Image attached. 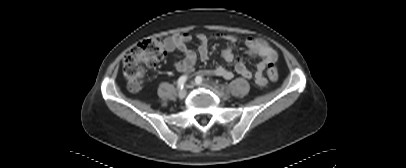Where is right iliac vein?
<instances>
[{
    "label": "right iliac vein",
    "mask_w": 406,
    "mask_h": 168,
    "mask_svg": "<svg viewBox=\"0 0 406 168\" xmlns=\"http://www.w3.org/2000/svg\"><path fill=\"white\" fill-rule=\"evenodd\" d=\"M186 94H187L186 89H181V90L179 91V93H178V97H179L180 99H183V98H185Z\"/></svg>",
    "instance_id": "63e3f726"
}]
</instances>
